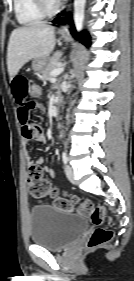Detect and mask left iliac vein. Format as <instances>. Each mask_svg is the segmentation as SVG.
Segmentation results:
<instances>
[{"instance_id":"left-iliac-vein-1","label":"left iliac vein","mask_w":134,"mask_h":281,"mask_svg":"<svg viewBox=\"0 0 134 281\" xmlns=\"http://www.w3.org/2000/svg\"><path fill=\"white\" fill-rule=\"evenodd\" d=\"M65 173H66L68 180L72 183H75V175H74V171L71 166H69V165L65 166Z\"/></svg>"}]
</instances>
